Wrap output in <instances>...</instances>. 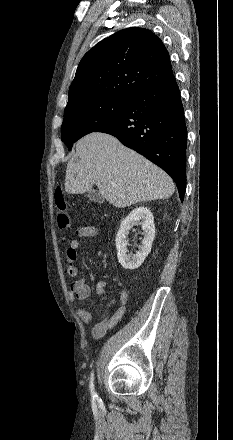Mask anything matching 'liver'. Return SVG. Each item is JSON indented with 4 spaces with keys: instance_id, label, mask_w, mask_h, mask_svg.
I'll use <instances>...</instances> for the list:
<instances>
[{
    "instance_id": "6515ba94",
    "label": "liver",
    "mask_w": 233,
    "mask_h": 440,
    "mask_svg": "<svg viewBox=\"0 0 233 440\" xmlns=\"http://www.w3.org/2000/svg\"><path fill=\"white\" fill-rule=\"evenodd\" d=\"M94 184L117 208L166 199L175 190L173 180L162 169L115 137L100 132H92L76 143L64 185L69 194H83Z\"/></svg>"
}]
</instances>
